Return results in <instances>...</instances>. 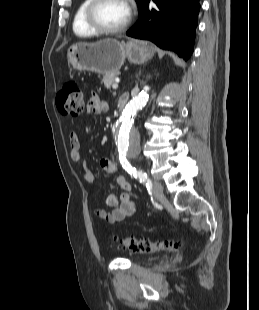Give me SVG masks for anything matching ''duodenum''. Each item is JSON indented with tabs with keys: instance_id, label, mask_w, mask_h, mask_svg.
<instances>
[{
	"instance_id": "obj_1",
	"label": "duodenum",
	"mask_w": 259,
	"mask_h": 310,
	"mask_svg": "<svg viewBox=\"0 0 259 310\" xmlns=\"http://www.w3.org/2000/svg\"><path fill=\"white\" fill-rule=\"evenodd\" d=\"M129 101V97L127 95H123L119 99V108L122 110L126 107L127 103Z\"/></svg>"
}]
</instances>
